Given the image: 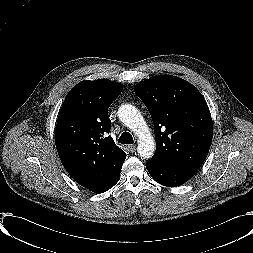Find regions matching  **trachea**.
<instances>
[{"label":"trachea","instance_id":"obj_1","mask_svg":"<svg viewBox=\"0 0 253 253\" xmlns=\"http://www.w3.org/2000/svg\"><path fill=\"white\" fill-rule=\"evenodd\" d=\"M118 142L122 144H133L134 140L129 132H123L118 139Z\"/></svg>","mask_w":253,"mask_h":253}]
</instances>
